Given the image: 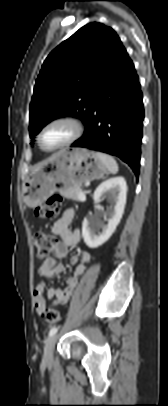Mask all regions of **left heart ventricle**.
I'll use <instances>...</instances> for the list:
<instances>
[{"label": "left heart ventricle", "mask_w": 168, "mask_h": 406, "mask_svg": "<svg viewBox=\"0 0 168 406\" xmlns=\"http://www.w3.org/2000/svg\"><path fill=\"white\" fill-rule=\"evenodd\" d=\"M72 129L66 124H55L46 128L42 134V144L54 148L64 143L71 135Z\"/></svg>", "instance_id": "obj_1"}]
</instances>
